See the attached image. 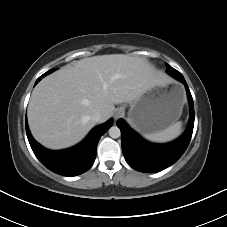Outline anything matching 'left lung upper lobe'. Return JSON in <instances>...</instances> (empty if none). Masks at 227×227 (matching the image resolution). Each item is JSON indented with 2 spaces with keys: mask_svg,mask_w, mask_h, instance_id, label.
Masks as SVG:
<instances>
[{
  "mask_svg": "<svg viewBox=\"0 0 227 227\" xmlns=\"http://www.w3.org/2000/svg\"><path fill=\"white\" fill-rule=\"evenodd\" d=\"M166 66H167V72L169 73V74H171V72L172 71H177V70H175L174 68H172L169 64H166Z\"/></svg>",
  "mask_w": 227,
  "mask_h": 227,
  "instance_id": "1",
  "label": "left lung upper lobe"
}]
</instances>
